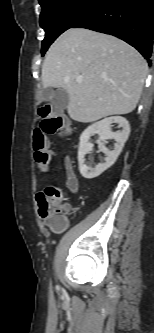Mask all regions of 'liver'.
Wrapping results in <instances>:
<instances>
[{"mask_svg":"<svg viewBox=\"0 0 154 333\" xmlns=\"http://www.w3.org/2000/svg\"><path fill=\"white\" fill-rule=\"evenodd\" d=\"M148 66L131 45L112 35L70 28L49 48L42 65L43 88L64 89L71 119L90 123L132 112ZM81 78L82 83L76 79Z\"/></svg>","mask_w":154,"mask_h":333,"instance_id":"6515ba94","label":"liver"}]
</instances>
